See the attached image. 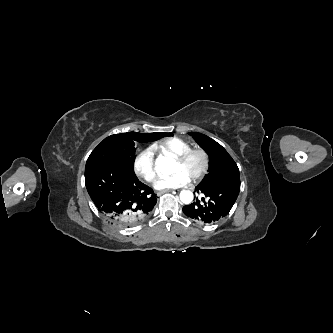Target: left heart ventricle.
Returning a JSON list of instances; mask_svg holds the SVG:
<instances>
[{
	"instance_id": "obj_1",
	"label": "left heart ventricle",
	"mask_w": 333,
	"mask_h": 333,
	"mask_svg": "<svg viewBox=\"0 0 333 333\" xmlns=\"http://www.w3.org/2000/svg\"><path fill=\"white\" fill-rule=\"evenodd\" d=\"M202 167V159L198 155H193L186 163L180 164L175 161L174 171H183L191 179Z\"/></svg>"
}]
</instances>
